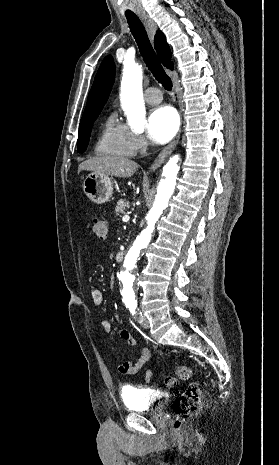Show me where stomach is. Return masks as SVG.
<instances>
[{
  "mask_svg": "<svg viewBox=\"0 0 279 465\" xmlns=\"http://www.w3.org/2000/svg\"><path fill=\"white\" fill-rule=\"evenodd\" d=\"M83 191L93 203L103 204L112 196L113 183L109 176L92 172L83 181Z\"/></svg>",
  "mask_w": 279,
  "mask_h": 465,
  "instance_id": "0dacf381",
  "label": "stomach"
}]
</instances>
